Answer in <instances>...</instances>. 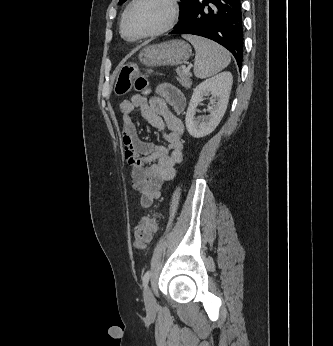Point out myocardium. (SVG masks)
Listing matches in <instances>:
<instances>
[{
    "label": "myocardium",
    "mask_w": 333,
    "mask_h": 346,
    "mask_svg": "<svg viewBox=\"0 0 333 346\" xmlns=\"http://www.w3.org/2000/svg\"><path fill=\"white\" fill-rule=\"evenodd\" d=\"M140 0H132L129 5L127 6V8L124 11V14L122 16L121 22H120V32L121 35L128 40H138V39H145V38H151V37H157L160 36L166 32H168L169 30H171L177 23L178 18H179V13H180V5H179V0H166V2L169 4L170 6V18L168 20V22L161 27L160 29L150 32V33H145V34H140V35H136V36H130L126 33L125 30V22L126 19L130 13V11L132 10V8L139 2Z\"/></svg>",
    "instance_id": "myocardium-1"
}]
</instances>
